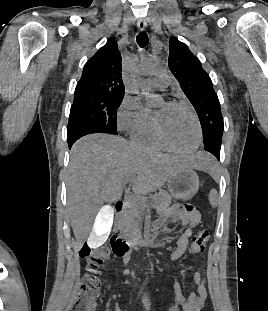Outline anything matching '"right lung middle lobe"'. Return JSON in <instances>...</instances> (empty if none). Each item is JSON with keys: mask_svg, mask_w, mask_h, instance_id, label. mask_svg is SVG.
Returning <instances> with one entry per match:
<instances>
[{"mask_svg": "<svg viewBox=\"0 0 268 311\" xmlns=\"http://www.w3.org/2000/svg\"><path fill=\"white\" fill-rule=\"evenodd\" d=\"M123 97L75 94L67 133L79 127H93L100 133L117 134V109Z\"/></svg>", "mask_w": 268, "mask_h": 311, "instance_id": "obj_1", "label": "right lung middle lobe"}]
</instances>
